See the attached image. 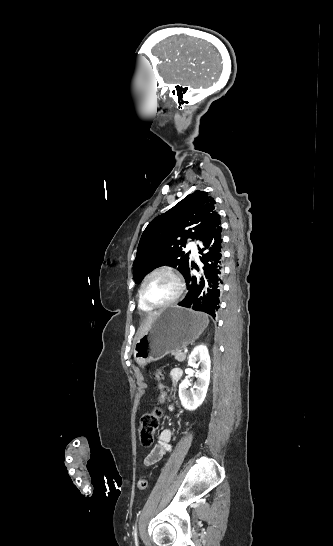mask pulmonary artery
<instances>
[{"instance_id": "obj_1", "label": "pulmonary artery", "mask_w": 333, "mask_h": 546, "mask_svg": "<svg viewBox=\"0 0 333 546\" xmlns=\"http://www.w3.org/2000/svg\"><path fill=\"white\" fill-rule=\"evenodd\" d=\"M188 247L189 249L191 250L192 254L197 257L198 256V249H197V246L195 244V242H190L188 244Z\"/></svg>"}]
</instances>
